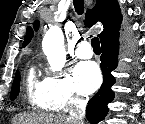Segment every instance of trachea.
<instances>
[{
  "label": "trachea",
  "mask_w": 145,
  "mask_h": 124,
  "mask_svg": "<svg viewBox=\"0 0 145 124\" xmlns=\"http://www.w3.org/2000/svg\"><path fill=\"white\" fill-rule=\"evenodd\" d=\"M74 7L78 14H82L84 11V0H74ZM91 45L94 51H100V42L98 37H94L91 40Z\"/></svg>",
  "instance_id": "trachea-1"
}]
</instances>
